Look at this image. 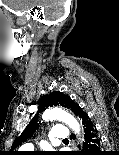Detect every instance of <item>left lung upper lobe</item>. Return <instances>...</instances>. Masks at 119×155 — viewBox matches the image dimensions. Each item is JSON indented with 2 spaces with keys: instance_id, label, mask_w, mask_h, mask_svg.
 <instances>
[{
  "instance_id": "left-lung-upper-lobe-1",
  "label": "left lung upper lobe",
  "mask_w": 119,
  "mask_h": 155,
  "mask_svg": "<svg viewBox=\"0 0 119 155\" xmlns=\"http://www.w3.org/2000/svg\"><path fill=\"white\" fill-rule=\"evenodd\" d=\"M76 105L77 103H75L68 95H64L60 91H54L49 95H43V97L40 99L38 103L37 114L39 112H42L46 108L52 107V106H62L74 112V108ZM37 114L32 118L30 123L26 126L22 134L13 142L11 147L12 150L20 143L25 141L28 137H30L32 133L39 127V124L37 122ZM12 150H11L12 152L11 155H16V152Z\"/></svg>"
}]
</instances>
